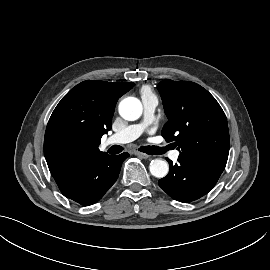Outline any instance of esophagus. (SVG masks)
I'll list each match as a JSON object with an SVG mask.
<instances>
[{"label": "esophagus", "instance_id": "esophagus-1", "mask_svg": "<svg viewBox=\"0 0 270 270\" xmlns=\"http://www.w3.org/2000/svg\"><path fill=\"white\" fill-rule=\"evenodd\" d=\"M135 155L143 159H148L150 157L148 154L142 152H135Z\"/></svg>", "mask_w": 270, "mask_h": 270}]
</instances>
